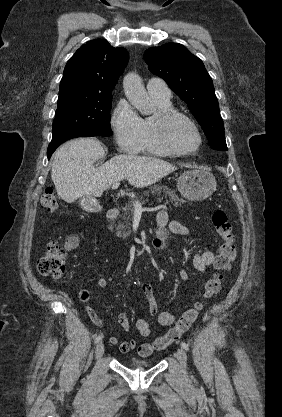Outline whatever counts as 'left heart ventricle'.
<instances>
[{"instance_id": "obj_1", "label": "left heart ventricle", "mask_w": 282, "mask_h": 417, "mask_svg": "<svg viewBox=\"0 0 282 417\" xmlns=\"http://www.w3.org/2000/svg\"><path fill=\"white\" fill-rule=\"evenodd\" d=\"M171 141L182 148L193 150L197 146V137L195 134L181 121H174L168 130Z\"/></svg>"}]
</instances>
